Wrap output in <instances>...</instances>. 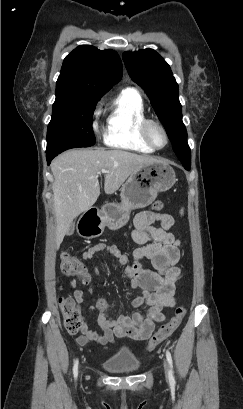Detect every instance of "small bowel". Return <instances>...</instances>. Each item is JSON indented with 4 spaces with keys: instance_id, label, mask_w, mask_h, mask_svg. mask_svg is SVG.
Listing matches in <instances>:
<instances>
[{
    "instance_id": "small-bowel-1",
    "label": "small bowel",
    "mask_w": 243,
    "mask_h": 409,
    "mask_svg": "<svg viewBox=\"0 0 243 409\" xmlns=\"http://www.w3.org/2000/svg\"><path fill=\"white\" fill-rule=\"evenodd\" d=\"M157 222L160 223L158 227L154 226ZM173 224L174 220L168 213L143 211L134 220L132 239L139 247L131 257L123 254L116 245L103 243L90 247L82 254L84 260H91L98 254L105 253L124 265L130 286L142 290V294L133 300V306H146V310L112 317L106 312L108 301L99 299L96 307L91 310L97 312L95 324L103 334L98 335L90 329V322L85 320L82 334L76 339L79 345L85 346L89 341H96L108 348L117 338L125 337L144 341L152 335L155 323L165 320L163 310L175 306L177 281L182 274L178 267L181 242L170 231ZM143 259H149L153 269L145 268ZM94 272L99 276L96 267ZM71 286H77L75 279L71 281ZM73 296L80 305L83 304V292L80 289H75Z\"/></svg>"
}]
</instances>
